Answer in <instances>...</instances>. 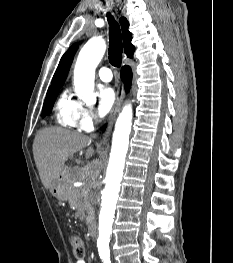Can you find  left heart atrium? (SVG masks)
Returning a JSON list of instances; mask_svg holds the SVG:
<instances>
[{"instance_id":"obj_1","label":"left heart atrium","mask_w":233,"mask_h":263,"mask_svg":"<svg viewBox=\"0 0 233 263\" xmlns=\"http://www.w3.org/2000/svg\"><path fill=\"white\" fill-rule=\"evenodd\" d=\"M98 114L103 117L107 115L114 107L116 96L114 90L109 86H103L99 89Z\"/></svg>"}]
</instances>
